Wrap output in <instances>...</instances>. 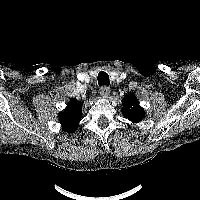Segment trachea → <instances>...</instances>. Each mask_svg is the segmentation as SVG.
Returning a JSON list of instances; mask_svg holds the SVG:
<instances>
[{
    "label": "trachea",
    "mask_w": 200,
    "mask_h": 200,
    "mask_svg": "<svg viewBox=\"0 0 200 200\" xmlns=\"http://www.w3.org/2000/svg\"><path fill=\"white\" fill-rule=\"evenodd\" d=\"M97 80H98L99 86H102V85L108 86L109 83H110L108 74L106 72H103V71H101L98 74Z\"/></svg>",
    "instance_id": "1"
}]
</instances>
